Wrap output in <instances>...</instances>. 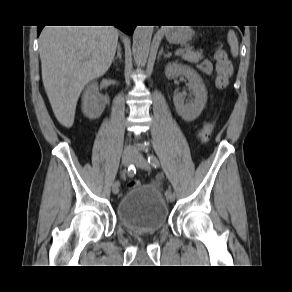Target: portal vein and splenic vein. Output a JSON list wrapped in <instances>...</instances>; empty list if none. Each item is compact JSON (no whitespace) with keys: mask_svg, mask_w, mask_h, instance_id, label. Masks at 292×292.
Instances as JSON below:
<instances>
[{"mask_svg":"<svg viewBox=\"0 0 292 292\" xmlns=\"http://www.w3.org/2000/svg\"><path fill=\"white\" fill-rule=\"evenodd\" d=\"M180 53V50H177L176 52H175V54H179Z\"/></svg>","mask_w":292,"mask_h":292,"instance_id":"obj_1","label":"portal vein and splenic vein"}]
</instances>
